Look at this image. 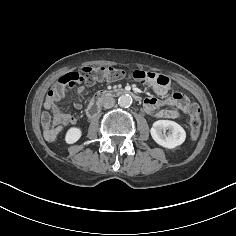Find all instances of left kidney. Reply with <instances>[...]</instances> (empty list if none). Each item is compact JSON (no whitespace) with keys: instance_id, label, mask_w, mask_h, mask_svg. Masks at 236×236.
<instances>
[{"instance_id":"5707ae66","label":"left kidney","mask_w":236,"mask_h":236,"mask_svg":"<svg viewBox=\"0 0 236 236\" xmlns=\"http://www.w3.org/2000/svg\"><path fill=\"white\" fill-rule=\"evenodd\" d=\"M166 130H169L168 134L165 133ZM150 132L157 144L168 149L180 146L186 139L185 130L178 123L170 120L154 122Z\"/></svg>"}]
</instances>
